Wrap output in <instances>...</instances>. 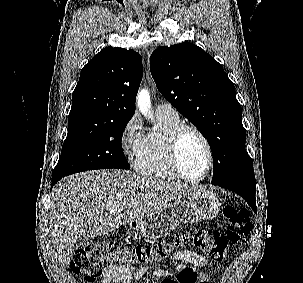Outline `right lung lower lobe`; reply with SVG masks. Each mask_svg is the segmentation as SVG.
Segmentation results:
<instances>
[{
	"mask_svg": "<svg viewBox=\"0 0 303 283\" xmlns=\"http://www.w3.org/2000/svg\"><path fill=\"white\" fill-rule=\"evenodd\" d=\"M62 177L63 175H52V184L51 187H53Z\"/></svg>",
	"mask_w": 303,
	"mask_h": 283,
	"instance_id": "1",
	"label": "right lung lower lobe"
}]
</instances>
